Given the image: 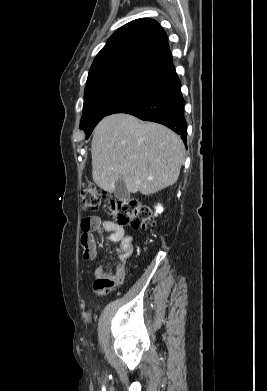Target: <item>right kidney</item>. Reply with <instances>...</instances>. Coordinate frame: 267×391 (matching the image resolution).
Instances as JSON below:
<instances>
[{
	"label": "right kidney",
	"mask_w": 267,
	"mask_h": 391,
	"mask_svg": "<svg viewBox=\"0 0 267 391\" xmlns=\"http://www.w3.org/2000/svg\"><path fill=\"white\" fill-rule=\"evenodd\" d=\"M163 211V207L161 206V205H158L157 207H156V214L157 213H161Z\"/></svg>",
	"instance_id": "obj_1"
}]
</instances>
